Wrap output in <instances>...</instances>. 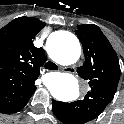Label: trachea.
Masks as SVG:
<instances>
[{"label": "trachea", "mask_w": 124, "mask_h": 124, "mask_svg": "<svg viewBox=\"0 0 124 124\" xmlns=\"http://www.w3.org/2000/svg\"><path fill=\"white\" fill-rule=\"evenodd\" d=\"M45 68L46 69H49V70H56L57 69V66L53 62H50L49 61V62L46 63Z\"/></svg>", "instance_id": "3493384b"}]
</instances>
